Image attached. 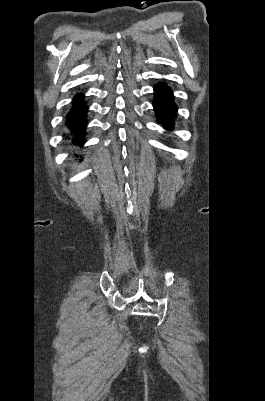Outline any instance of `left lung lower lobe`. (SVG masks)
Listing matches in <instances>:
<instances>
[{
	"label": "left lung lower lobe",
	"mask_w": 265,
	"mask_h": 401,
	"mask_svg": "<svg viewBox=\"0 0 265 401\" xmlns=\"http://www.w3.org/2000/svg\"><path fill=\"white\" fill-rule=\"evenodd\" d=\"M154 91L153 106L158 123L163 125L164 128L171 129L177 110V106L173 102L172 90L166 84H159L154 87Z\"/></svg>",
	"instance_id": "obj_1"
}]
</instances>
